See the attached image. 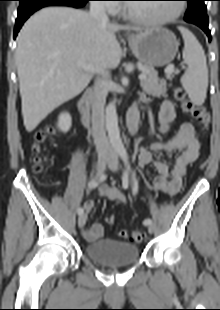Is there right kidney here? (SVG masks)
<instances>
[{
  "instance_id": "right-kidney-1",
  "label": "right kidney",
  "mask_w": 220,
  "mask_h": 310,
  "mask_svg": "<svg viewBox=\"0 0 220 310\" xmlns=\"http://www.w3.org/2000/svg\"><path fill=\"white\" fill-rule=\"evenodd\" d=\"M72 119L69 113L63 112L59 115V128L62 132H68L71 128Z\"/></svg>"
}]
</instances>
